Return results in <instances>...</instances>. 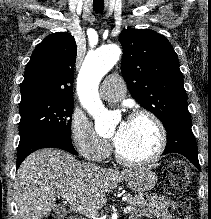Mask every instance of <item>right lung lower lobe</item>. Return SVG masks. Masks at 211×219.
Instances as JSON below:
<instances>
[{"label": "right lung lower lobe", "mask_w": 211, "mask_h": 219, "mask_svg": "<svg viewBox=\"0 0 211 219\" xmlns=\"http://www.w3.org/2000/svg\"><path fill=\"white\" fill-rule=\"evenodd\" d=\"M47 147L60 148L77 155L71 140H66L56 135L41 134L31 137L23 142H19L17 152L16 169L19 168L22 161L32 152Z\"/></svg>", "instance_id": "98d812e1"}]
</instances>
